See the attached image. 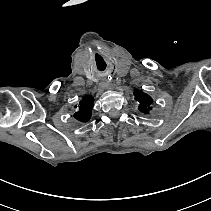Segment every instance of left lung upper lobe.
<instances>
[{"instance_id":"obj_1","label":"left lung upper lobe","mask_w":211,"mask_h":211,"mask_svg":"<svg viewBox=\"0 0 211 211\" xmlns=\"http://www.w3.org/2000/svg\"><path fill=\"white\" fill-rule=\"evenodd\" d=\"M134 95H135V100L139 102V110L145 114H148L149 110L152 109L151 108V104L153 103L152 98L148 94L142 92L141 90H135Z\"/></svg>"}]
</instances>
